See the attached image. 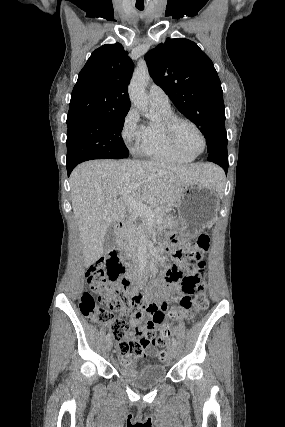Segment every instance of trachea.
Returning <instances> with one entry per match:
<instances>
[{
  "label": "trachea",
  "instance_id": "3493384b",
  "mask_svg": "<svg viewBox=\"0 0 285 427\" xmlns=\"http://www.w3.org/2000/svg\"><path fill=\"white\" fill-rule=\"evenodd\" d=\"M137 9L142 11V10H144V7H137Z\"/></svg>",
  "mask_w": 285,
  "mask_h": 427
}]
</instances>
